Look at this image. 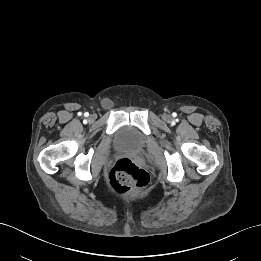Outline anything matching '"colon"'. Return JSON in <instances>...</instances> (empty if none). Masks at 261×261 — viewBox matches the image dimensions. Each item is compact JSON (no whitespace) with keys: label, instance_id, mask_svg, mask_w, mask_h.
<instances>
[{"label":"colon","instance_id":"obj_1","mask_svg":"<svg viewBox=\"0 0 261 261\" xmlns=\"http://www.w3.org/2000/svg\"><path fill=\"white\" fill-rule=\"evenodd\" d=\"M111 187L121 194H139L149 183V176L129 158L118 159L109 173Z\"/></svg>","mask_w":261,"mask_h":261}]
</instances>
